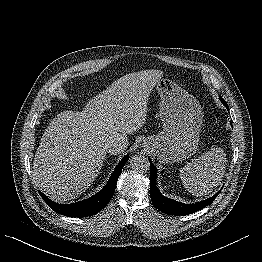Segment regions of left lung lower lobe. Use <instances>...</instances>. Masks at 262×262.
<instances>
[{
  "label": "left lung lower lobe",
  "instance_id": "obj_1",
  "mask_svg": "<svg viewBox=\"0 0 262 262\" xmlns=\"http://www.w3.org/2000/svg\"><path fill=\"white\" fill-rule=\"evenodd\" d=\"M228 109L227 104H224ZM150 191H151V200L154 206L163 213L174 215V216H183L194 213L209 204H211L215 198L218 196L217 192L214 196L209 199L194 203V204H185L172 199H169L163 196L156 186L157 179V168L153 165L150 160Z\"/></svg>",
  "mask_w": 262,
  "mask_h": 262
}]
</instances>
